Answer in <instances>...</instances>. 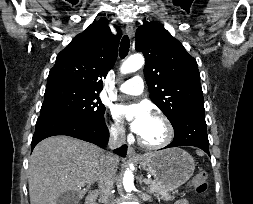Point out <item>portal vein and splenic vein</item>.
Instances as JSON below:
<instances>
[{"mask_svg": "<svg viewBox=\"0 0 253 204\" xmlns=\"http://www.w3.org/2000/svg\"><path fill=\"white\" fill-rule=\"evenodd\" d=\"M145 183H146V184H151V180L146 179V180H145Z\"/></svg>", "mask_w": 253, "mask_h": 204, "instance_id": "18ae733b", "label": "portal vein and splenic vein"}]
</instances>
